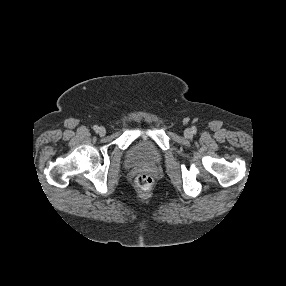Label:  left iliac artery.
Returning <instances> with one entry per match:
<instances>
[{
    "label": "left iliac artery",
    "mask_w": 286,
    "mask_h": 286,
    "mask_svg": "<svg viewBox=\"0 0 286 286\" xmlns=\"http://www.w3.org/2000/svg\"><path fill=\"white\" fill-rule=\"evenodd\" d=\"M192 131H193V133H196V131H197L196 127H192Z\"/></svg>",
    "instance_id": "left-iliac-artery-1"
}]
</instances>
